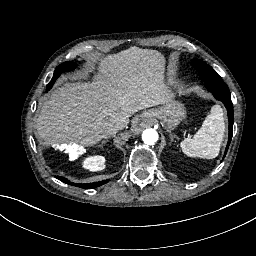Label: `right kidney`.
<instances>
[{
    "label": "right kidney",
    "instance_id": "1",
    "mask_svg": "<svg viewBox=\"0 0 256 256\" xmlns=\"http://www.w3.org/2000/svg\"><path fill=\"white\" fill-rule=\"evenodd\" d=\"M83 168L96 172L105 169V157L96 155L85 158L82 163Z\"/></svg>",
    "mask_w": 256,
    "mask_h": 256
}]
</instances>
